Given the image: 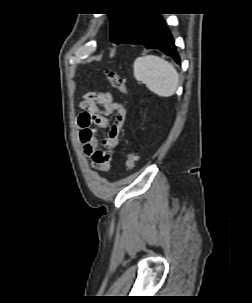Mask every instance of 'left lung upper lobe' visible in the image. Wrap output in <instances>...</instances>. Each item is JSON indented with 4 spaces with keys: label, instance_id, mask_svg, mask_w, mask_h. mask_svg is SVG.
Instances as JSON below:
<instances>
[{
    "label": "left lung upper lobe",
    "instance_id": "1",
    "mask_svg": "<svg viewBox=\"0 0 252 303\" xmlns=\"http://www.w3.org/2000/svg\"><path fill=\"white\" fill-rule=\"evenodd\" d=\"M108 15L111 24V41L117 44L132 31L146 13H113Z\"/></svg>",
    "mask_w": 252,
    "mask_h": 303
}]
</instances>
